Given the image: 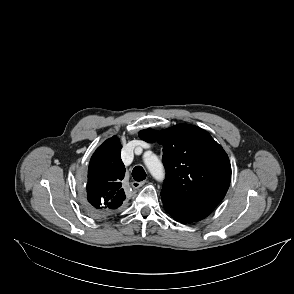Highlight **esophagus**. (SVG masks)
Masks as SVG:
<instances>
[{
    "label": "esophagus",
    "mask_w": 294,
    "mask_h": 294,
    "mask_svg": "<svg viewBox=\"0 0 294 294\" xmlns=\"http://www.w3.org/2000/svg\"><path fill=\"white\" fill-rule=\"evenodd\" d=\"M145 184V181H133L131 183V186L134 188V189H138L140 188L141 186H143Z\"/></svg>",
    "instance_id": "esophagus-1"
}]
</instances>
